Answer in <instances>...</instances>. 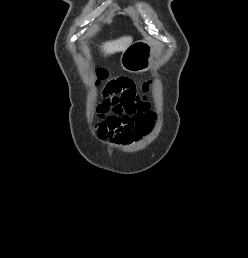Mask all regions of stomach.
Returning a JSON list of instances; mask_svg holds the SVG:
<instances>
[{
	"instance_id": "0dacf381",
	"label": "stomach",
	"mask_w": 248,
	"mask_h": 258,
	"mask_svg": "<svg viewBox=\"0 0 248 258\" xmlns=\"http://www.w3.org/2000/svg\"><path fill=\"white\" fill-rule=\"evenodd\" d=\"M157 45L151 40H140L130 44L123 52L120 63L125 71L131 73L148 70L156 57Z\"/></svg>"
}]
</instances>
